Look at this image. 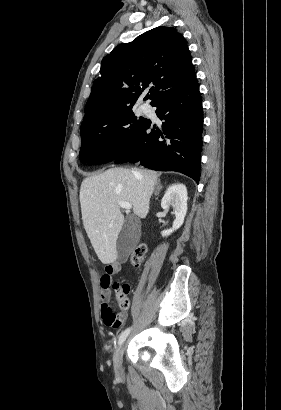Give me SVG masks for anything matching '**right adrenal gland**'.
<instances>
[{
    "label": "right adrenal gland",
    "mask_w": 281,
    "mask_h": 410,
    "mask_svg": "<svg viewBox=\"0 0 281 410\" xmlns=\"http://www.w3.org/2000/svg\"><path fill=\"white\" fill-rule=\"evenodd\" d=\"M161 189H162V185L158 184L157 187H156V191H155L154 195L157 196Z\"/></svg>",
    "instance_id": "2a0ac1e0"
}]
</instances>
